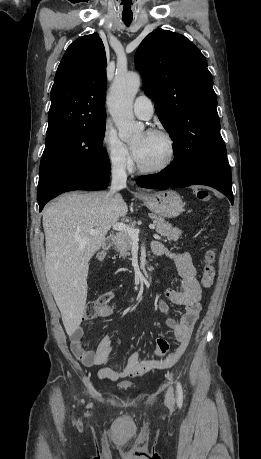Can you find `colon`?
Wrapping results in <instances>:
<instances>
[{
	"mask_svg": "<svg viewBox=\"0 0 261 459\" xmlns=\"http://www.w3.org/2000/svg\"><path fill=\"white\" fill-rule=\"evenodd\" d=\"M197 197L202 200H208L214 197V188H197ZM214 262L215 253L212 250L207 251L204 258V267L201 277V285L203 288H210L214 282L216 274ZM111 299V293L107 292L89 301L85 309V319L96 318L101 309L107 306Z\"/></svg>",
	"mask_w": 261,
	"mask_h": 459,
	"instance_id": "obj_1",
	"label": "colon"
}]
</instances>
